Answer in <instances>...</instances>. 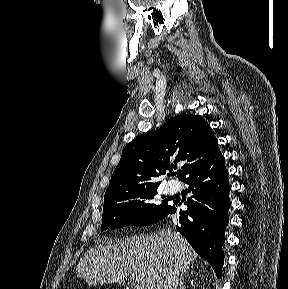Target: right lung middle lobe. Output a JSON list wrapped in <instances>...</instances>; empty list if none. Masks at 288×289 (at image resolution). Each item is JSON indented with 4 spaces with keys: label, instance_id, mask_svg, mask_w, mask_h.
<instances>
[{
    "label": "right lung middle lobe",
    "instance_id": "1",
    "mask_svg": "<svg viewBox=\"0 0 288 289\" xmlns=\"http://www.w3.org/2000/svg\"><path fill=\"white\" fill-rule=\"evenodd\" d=\"M157 187L106 194L104 197L102 230L129 225H151L163 218L171 207L167 200L156 201Z\"/></svg>",
    "mask_w": 288,
    "mask_h": 289
}]
</instances>
